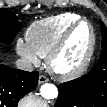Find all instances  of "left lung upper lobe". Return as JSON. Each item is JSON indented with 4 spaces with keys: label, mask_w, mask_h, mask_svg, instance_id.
Masks as SVG:
<instances>
[{
    "label": "left lung upper lobe",
    "mask_w": 107,
    "mask_h": 107,
    "mask_svg": "<svg viewBox=\"0 0 107 107\" xmlns=\"http://www.w3.org/2000/svg\"><path fill=\"white\" fill-rule=\"evenodd\" d=\"M101 25V33H102V53L105 54L106 62H107V27L105 24L100 21Z\"/></svg>",
    "instance_id": "1"
}]
</instances>
